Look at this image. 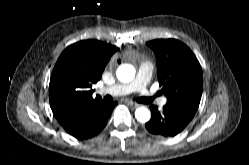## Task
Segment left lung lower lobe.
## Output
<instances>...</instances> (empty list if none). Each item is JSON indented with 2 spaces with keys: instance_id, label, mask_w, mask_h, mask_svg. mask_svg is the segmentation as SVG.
Masks as SVG:
<instances>
[{
  "instance_id": "1",
  "label": "left lung lower lobe",
  "mask_w": 249,
  "mask_h": 165,
  "mask_svg": "<svg viewBox=\"0 0 249 165\" xmlns=\"http://www.w3.org/2000/svg\"><path fill=\"white\" fill-rule=\"evenodd\" d=\"M150 109L152 117L145 124V127L150 133L161 137L177 135L189 124L195 115L167 104L162 110H158V107L155 105H151Z\"/></svg>"
}]
</instances>
